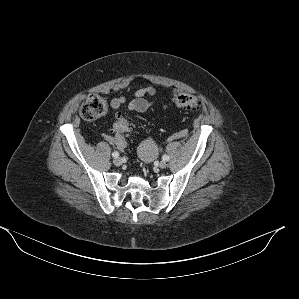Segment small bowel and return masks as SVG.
Here are the masks:
<instances>
[{"mask_svg":"<svg viewBox=\"0 0 299 299\" xmlns=\"http://www.w3.org/2000/svg\"><path fill=\"white\" fill-rule=\"evenodd\" d=\"M156 93H157L156 89L152 86L142 87L135 91L134 99H132L131 101L127 102L125 97L119 96V97H115L111 100L110 106L113 110H116V109L120 108L121 106H123L124 104H127V107L130 111L142 113V112H145L146 110H148L151 106H153L155 104ZM146 97H148V98H146ZM166 108H167V104H164L162 106L161 111L165 110ZM103 138L107 142H110L111 144H114L117 146V143H116L113 135L106 133V134H103ZM121 150H124V149H121Z\"/></svg>","mask_w":299,"mask_h":299,"instance_id":"small-bowel-1","label":"small bowel"}]
</instances>
